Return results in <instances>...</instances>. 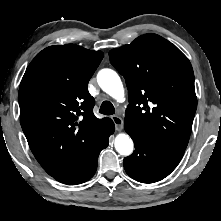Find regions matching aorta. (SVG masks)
I'll use <instances>...</instances> for the list:
<instances>
[{"instance_id": "obj_1", "label": "aorta", "mask_w": 221, "mask_h": 221, "mask_svg": "<svg viewBox=\"0 0 221 221\" xmlns=\"http://www.w3.org/2000/svg\"><path fill=\"white\" fill-rule=\"evenodd\" d=\"M97 81L103 91L120 101L124 97V88L118 74L112 69H102L97 75ZM133 141L125 133L115 138V148L120 155L128 156L133 152Z\"/></svg>"}]
</instances>
